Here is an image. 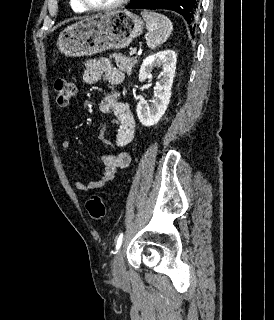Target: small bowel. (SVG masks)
I'll return each mask as SVG.
<instances>
[{"label":"small bowel","mask_w":274,"mask_h":320,"mask_svg":"<svg viewBox=\"0 0 274 320\" xmlns=\"http://www.w3.org/2000/svg\"><path fill=\"white\" fill-rule=\"evenodd\" d=\"M82 77L85 83L93 84L101 78L111 84L119 85L123 81L122 73L106 57H96L86 62ZM100 109L105 113H113L119 124L118 132L114 138L117 147H125L130 144L135 137L136 124L129 106L119 100L118 93L114 92L102 98ZM70 148L68 140L61 142V149L67 152ZM104 169L100 177L95 180L85 182L79 179L73 181V186L83 192H91L103 188L107 183L115 178L118 170L129 167L131 156L127 152L118 154H104L102 156Z\"/></svg>","instance_id":"obj_1"}]
</instances>
